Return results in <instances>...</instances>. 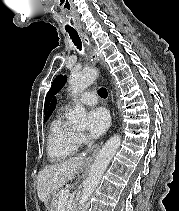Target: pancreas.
<instances>
[{
	"instance_id": "obj_1",
	"label": "pancreas",
	"mask_w": 179,
	"mask_h": 211,
	"mask_svg": "<svg viewBox=\"0 0 179 211\" xmlns=\"http://www.w3.org/2000/svg\"><path fill=\"white\" fill-rule=\"evenodd\" d=\"M60 193L61 191H58L54 194L52 204H51V209H52L51 211H57Z\"/></svg>"
}]
</instances>
